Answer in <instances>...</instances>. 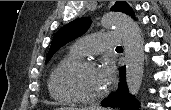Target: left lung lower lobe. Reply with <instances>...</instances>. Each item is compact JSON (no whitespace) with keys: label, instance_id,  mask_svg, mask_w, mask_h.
<instances>
[{"label":"left lung lower lobe","instance_id":"1","mask_svg":"<svg viewBox=\"0 0 171 110\" xmlns=\"http://www.w3.org/2000/svg\"><path fill=\"white\" fill-rule=\"evenodd\" d=\"M104 107H119L121 110H138V102L128 93L125 79V67L120 68V83L117 91L108 99L101 102Z\"/></svg>","mask_w":171,"mask_h":110}]
</instances>
